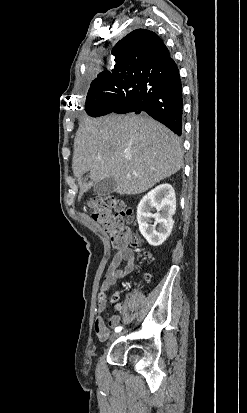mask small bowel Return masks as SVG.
I'll list each match as a JSON object with an SVG mask.
<instances>
[{"label":"small bowel","mask_w":247,"mask_h":413,"mask_svg":"<svg viewBox=\"0 0 247 413\" xmlns=\"http://www.w3.org/2000/svg\"><path fill=\"white\" fill-rule=\"evenodd\" d=\"M124 263V264H123ZM135 266V256L132 250L125 249L117 252L103 277L100 291L98 293L97 299V312L99 316L94 322V331L96 336L101 341H106L110 337V330L105 324L103 318L100 316L107 306V298L111 291L112 286L115 282L128 274H130ZM119 293L113 294L111 297V302L119 300ZM121 317L119 315H113L109 319V326L112 328H117L120 324Z\"/></svg>","instance_id":"c3829d8e"}]
</instances>
